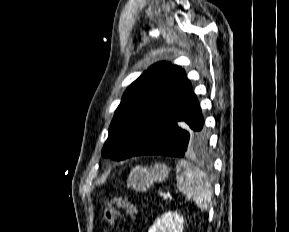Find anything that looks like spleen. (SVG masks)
<instances>
[{
  "label": "spleen",
  "instance_id": "3e777b00",
  "mask_svg": "<svg viewBox=\"0 0 289 232\" xmlns=\"http://www.w3.org/2000/svg\"><path fill=\"white\" fill-rule=\"evenodd\" d=\"M176 173L179 191L186 196L187 200H193L201 211L207 210L213 192L206 174L185 160L178 161Z\"/></svg>",
  "mask_w": 289,
  "mask_h": 232
}]
</instances>
